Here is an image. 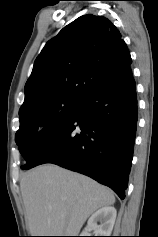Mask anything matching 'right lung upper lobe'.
<instances>
[{
    "label": "right lung upper lobe",
    "instance_id": "cb5924a9",
    "mask_svg": "<svg viewBox=\"0 0 158 237\" xmlns=\"http://www.w3.org/2000/svg\"><path fill=\"white\" fill-rule=\"evenodd\" d=\"M131 62L126 43L110 20L83 15L49 40L36 58L19 115L52 99L84 101Z\"/></svg>",
    "mask_w": 158,
    "mask_h": 237
}]
</instances>
